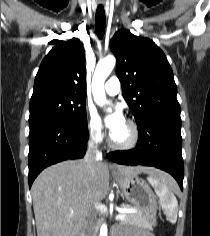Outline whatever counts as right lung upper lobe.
Returning a JSON list of instances; mask_svg holds the SVG:
<instances>
[{
	"mask_svg": "<svg viewBox=\"0 0 210 236\" xmlns=\"http://www.w3.org/2000/svg\"><path fill=\"white\" fill-rule=\"evenodd\" d=\"M51 94L86 97L85 51L77 38L52 48L39 67L30 101Z\"/></svg>",
	"mask_w": 210,
	"mask_h": 236,
	"instance_id": "obj_1",
	"label": "right lung upper lobe"
}]
</instances>
